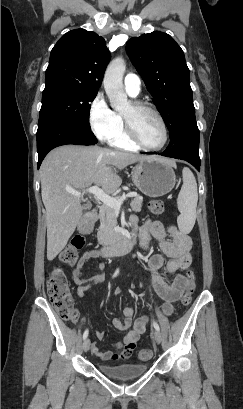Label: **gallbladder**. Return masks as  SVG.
Here are the masks:
<instances>
[{
  "instance_id": "1",
  "label": "gallbladder",
  "mask_w": 243,
  "mask_h": 409,
  "mask_svg": "<svg viewBox=\"0 0 243 409\" xmlns=\"http://www.w3.org/2000/svg\"><path fill=\"white\" fill-rule=\"evenodd\" d=\"M87 207V205L83 206V208L85 209Z\"/></svg>"
}]
</instances>
